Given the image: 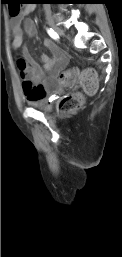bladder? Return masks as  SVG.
<instances>
[{"label":"bladder","mask_w":122,"mask_h":257,"mask_svg":"<svg viewBox=\"0 0 122 257\" xmlns=\"http://www.w3.org/2000/svg\"><path fill=\"white\" fill-rule=\"evenodd\" d=\"M28 102L32 107L41 111H48L50 108L49 102L46 98L38 99V100H30Z\"/></svg>","instance_id":"1"}]
</instances>
